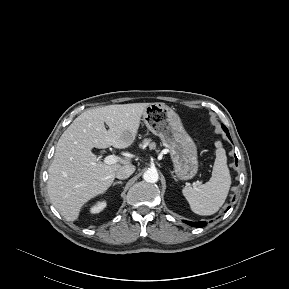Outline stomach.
Here are the masks:
<instances>
[{
	"label": "stomach",
	"mask_w": 289,
	"mask_h": 289,
	"mask_svg": "<svg viewBox=\"0 0 289 289\" xmlns=\"http://www.w3.org/2000/svg\"><path fill=\"white\" fill-rule=\"evenodd\" d=\"M142 116L148 130L168 149L176 176L181 180L193 178L198 171L197 148L179 115L164 103H150Z\"/></svg>",
	"instance_id": "obj_1"
}]
</instances>
